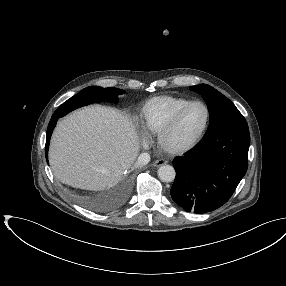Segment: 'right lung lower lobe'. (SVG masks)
<instances>
[{"label": "right lung lower lobe", "instance_id": "1", "mask_svg": "<svg viewBox=\"0 0 286 286\" xmlns=\"http://www.w3.org/2000/svg\"><path fill=\"white\" fill-rule=\"evenodd\" d=\"M59 117H61V116L55 111L53 116L51 117V120H50L48 128H47L46 145H45V150H46L45 155H46L47 161H48V148H49L50 137H51L52 131H53Z\"/></svg>", "mask_w": 286, "mask_h": 286}]
</instances>
